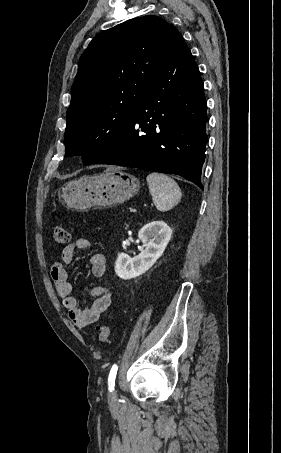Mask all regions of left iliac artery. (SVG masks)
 Listing matches in <instances>:
<instances>
[{"mask_svg": "<svg viewBox=\"0 0 281 453\" xmlns=\"http://www.w3.org/2000/svg\"><path fill=\"white\" fill-rule=\"evenodd\" d=\"M117 370H118V366L116 364H114L111 368V371H110V374H109V378H108V386H109V391H113L114 390V386H115V378H116V374H117Z\"/></svg>", "mask_w": 281, "mask_h": 453, "instance_id": "left-iliac-artery-1", "label": "left iliac artery"}]
</instances>
